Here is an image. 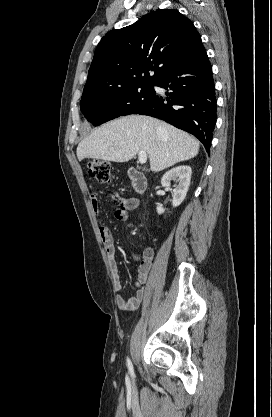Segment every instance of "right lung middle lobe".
Here are the masks:
<instances>
[{"instance_id":"1","label":"right lung middle lobe","mask_w":272,"mask_h":417,"mask_svg":"<svg viewBox=\"0 0 272 417\" xmlns=\"http://www.w3.org/2000/svg\"><path fill=\"white\" fill-rule=\"evenodd\" d=\"M153 86L154 82L142 83L106 94H83L80 109L88 121L98 126L134 113L154 97Z\"/></svg>"}]
</instances>
